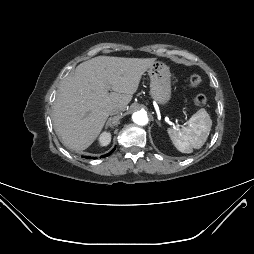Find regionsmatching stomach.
<instances>
[{
    "instance_id": "0dacf381",
    "label": "stomach",
    "mask_w": 254,
    "mask_h": 254,
    "mask_svg": "<svg viewBox=\"0 0 254 254\" xmlns=\"http://www.w3.org/2000/svg\"><path fill=\"white\" fill-rule=\"evenodd\" d=\"M150 95L154 101L164 106L171 98V73L169 67L155 61L148 69Z\"/></svg>"
}]
</instances>
